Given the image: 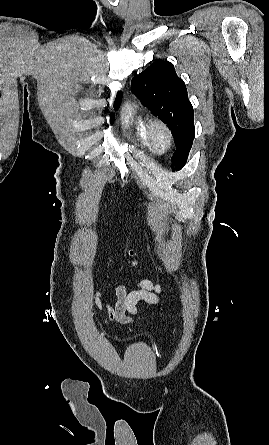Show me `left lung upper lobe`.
Masks as SVG:
<instances>
[{
	"label": "left lung upper lobe",
	"instance_id": "obj_1",
	"mask_svg": "<svg viewBox=\"0 0 269 445\" xmlns=\"http://www.w3.org/2000/svg\"><path fill=\"white\" fill-rule=\"evenodd\" d=\"M131 89L171 130L176 143L171 167L180 170L195 137L194 110L184 81L172 63L158 60L132 79Z\"/></svg>",
	"mask_w": 269,
	"mask_h": 445
}]
</instances>
